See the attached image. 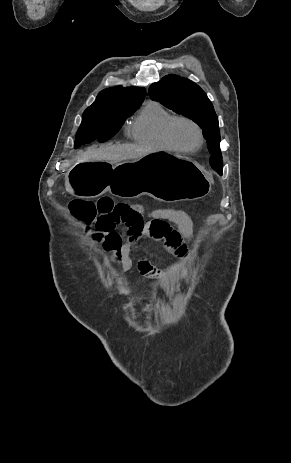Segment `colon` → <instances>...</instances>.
Returning <instances> with one entry per match:
<instances>
[{
	"label": "colon",
	"mask_w": 291,
	"mask_h": 463,
	"mask_svg": "<svg viewBox=\"0 0 291 463\" xmlns=\"http://www.w3.org/2000/svg\"><path fill=\"white\" fill-rule=\"evenodd\" d=\"M73 215L87 224L94 222L97 229L110 230L124 223L131 212V205L115 202L110 197H102L97 201L74 199L70 202Z\"/></svg>",
	"instance_id": "5ec220e1"
}]
</instances>
